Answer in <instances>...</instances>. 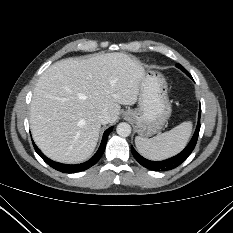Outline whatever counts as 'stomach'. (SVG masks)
<instances>
[{
    "label": "stomach",
    "mask_w": 233,
    "mask_h": 233,
    "mask_svg": "<svg viewBox=\"0 0 233 233\" xmlns=\"http://www.w3.org/2000/svg\"><path fill=\"white\" fill-rule=\"evenodd\" d=\"M171 111L164 76L156 70H146L139 84L138 107L125 111V118L135 124L141 137H150L162 129Z\"/></svg>",
    "instance_id": "stomach-1"
}]
</instances>
